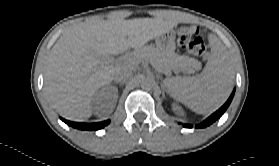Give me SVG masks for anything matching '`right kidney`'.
<instances>
[{"mask_svg": "<svg viewBox=\"0 0 279 166\" xmlns=\"http://www.w3.org/2000/svg\"><path fill=\"white\" fill-rule=\"evenodd\" d=\"M110 98H113V102L117 101L118 98L117 91L103 88L102 90H100L94 95L93 101L94 102L108 101Z\"/></svg>", "mask_w": 279, "mask_h": 166, "instance_id": "1", "label": "right kidney"}]
</instances>
